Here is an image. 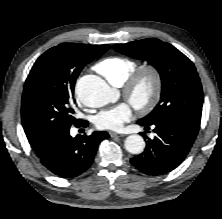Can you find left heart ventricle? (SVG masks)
<instances>
[{"label":"left heart ventricle","mask_w":222,"mask_h":219,"mask_svg":"<svg viewBox=\"0 0 222 219\" xmlns=\"http://www.w3.org/2000/svg\"><path fill=\"white\" fill-rule=\"evenodd\" d=\"M150 81L148 78H143L137 85L135 92H134V98L138 102L145 101L149 95H150Z\"/></svg>","instance_id":"left-heart-ventricle-1"}]
</instances>
